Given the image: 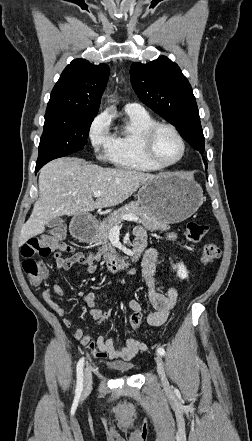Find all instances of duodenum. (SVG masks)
I'll return each mask as SVG.
<instances>
[{
  "label": "duodenum",
  "mask_w": 252,
  "mask_h": 441,
  "mask_svg": "<svg viewBox=\"0 0 252 441\" xmlns=\"http://www.w3.org/2000/svg\"><path fill=\"white\" fill-rule=\"evenodd\" d=\"M93 222L94 219L76 220L71 224V233L79 240H90L94 236ZM142 251V246H134L132 253L124 258H109L107 261L109 270L114 272L135 262Z\"/></svg>",
  "instance_id": "410a0bca"
}]
</instances>
